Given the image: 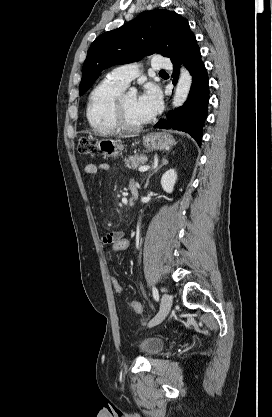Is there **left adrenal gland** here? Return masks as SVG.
I'll return each instance as SVG.
<instances>
[{"label":"left adrenal gland","mask_w":272,"mask_h":417,"mask_svg":"<svg viewBox=\"0 0 272 417\" xmlns=\"http://www.w3.org/2000/svg\"><path fill=\"white\" fill-rule=\"evenodd\" d=\"M167 164H168V160H167L166 158H163V159H162V164H161L160 166L156 167V168H155V170H154L152 173H150V174L148 175L147 180H146V184H145L144 188H147V187H148L150 177H151L154 173H156L159 169H161L164 165H167Z\"/></svg>","instance_id":"a2214340"}]
</instances>
